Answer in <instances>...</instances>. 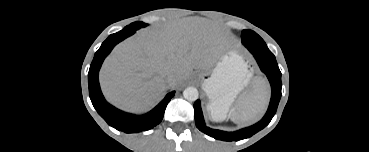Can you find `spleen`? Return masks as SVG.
Wrapping results in <instances>:
<instances>
[{
	"label": "spleen",
	"mask_w": 369,
	"mask_h": 152,
	"mask_svg": "<svg viewBox=\"0 0 369 152\" xmlns=\"http://www.w3.org/2000/svg\"><path fill=\"white\" fill-rule=\"evenodd\" d=\"M269 101L267 89L255 86L254 90L244 95L230 111V119L237 124H247L257 120L266 110Z\"/></svg>",
	"instance_id": "3e777b00"
}]
</instances>
